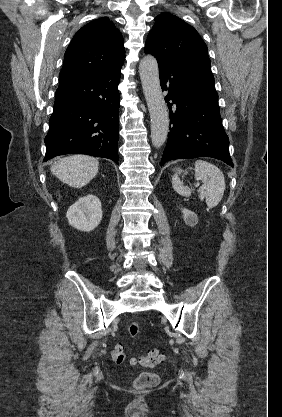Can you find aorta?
Masks as SVG:
<instances>
[{"instance_id": "762f6f07", "label": "aorta", "mask_w": 282, "mask_h": 417, "mask_svg": "<svg viewBox=\"0 0 282 417\" xmlns=\"http://www.w3.org/2000/svg\"><path fill=\"white\" fill-rule=\"evenodd\" d=\"M139 74L151 118V140L156 148L164 144L169 128V114L162 94L158 62L152 54L143 56Z\"/></svg>"}]
</instances>
